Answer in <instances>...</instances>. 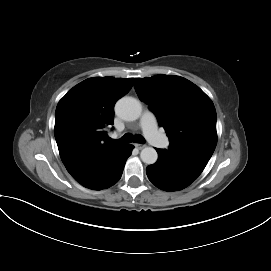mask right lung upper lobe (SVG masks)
Wrapping results in <instances>:
<instances>
[{"label": "right lung upper lobe", "mask_w": 271, "mask_h": 271, "mask_svg": "<svg viewBox=\"0 0 271 271\" xmlns=\"http://www.w3.org/2000/svg\"><path fill=\"white\" fill-rule=\"evenodd\" d=\"M133 78L92 77L74 86L58 103L54 134L71 176L83 183L95 176L124 145L109 142L113 107Z\"/></svg>", "instance_id": "cb5924a9"}]
</instances>
